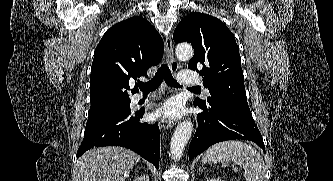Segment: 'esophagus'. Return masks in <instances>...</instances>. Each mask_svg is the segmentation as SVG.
<instances>
[{
  "mask_svg": "<svg viewBox=\"0 0 333 181\" xmlns=\"http://www.w3.org/2000/svg\"><path fill=\"white\" fill-rule=\"evenodd\" d=\"M165 52H166L167 63L170 67L171 72L176 73L178 70V63L174 57L172 39H171L170 35L166 36V39H165ZM158 125L160 128L168 129V128H172L174 123L171 120L160 117L159 121H158Z\"/></svg>",
  "mask_w": 333,
  "mask_h": 181,
  "instance_id": "esophagus-1",
  "label": "esophagus"
}]
</instances>
